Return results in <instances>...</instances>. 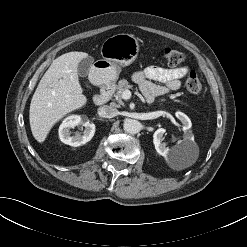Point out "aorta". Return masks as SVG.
<instances>
[{
    "instance_id": "1",
    "label": "aorta",
    "mask_w": 247,
    "mask_h": 247,
    "mask_svg": "<svg viewBox=\"0 0 247 247\" xmlns=\"http://www.w3.org/2000/svg\"><path fill=\"white\" fill-rule=\"evenodd\" d=\"M141 123L135 119H127L124 121V131L129 134H137L141 130Z\"/></svg>"
}]
</instances>
